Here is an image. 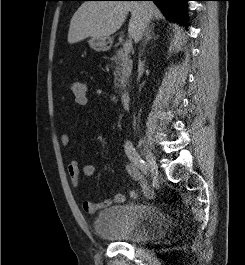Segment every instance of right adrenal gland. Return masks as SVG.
Returning a JSON list of instances; mask_svg holds the SVG:
<instances>
[{
  "instance_id": "2a0ac1e0",
  "label": "right adrenal gland",
  "mask_w": 245,
  "mask_h": 265,
  "mask_svg": "<svg viewBox=\"0 0 245 265\" xmlns=\"http://www.w3.org/2000/svg\"><path fill=\"white\" fill-rule=\"evenodd\" d=\"M153 30H154V24L151 25L150 29H149V30L147 31V33H146V39H145V41H144L142 51H144V49H145L147 43H148L150 40L158 38V35L155 36Z\"/></svg>"
}]
</instances>
